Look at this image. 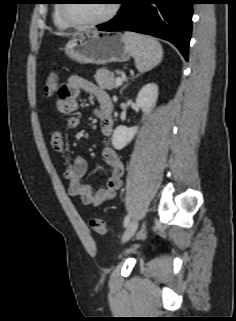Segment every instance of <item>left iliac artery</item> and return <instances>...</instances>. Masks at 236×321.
<instances>
[{
  "instance_id": "obj_1",
  "label": "left iliac artery",
  "mask_w": 236,
  "mask_h": 321,
  "mask_svg": "<svg viewBox=\"0 0 236 321\" xmlns=\"http://www.w3.org/2000/svg\"><path fill=\"white\" fill-rule=\"evenodd\" d=\"M129 221H130V216L127 215L124 219V227H126L129 224Z\"/></svg>"
}]
</instances>
